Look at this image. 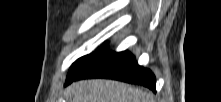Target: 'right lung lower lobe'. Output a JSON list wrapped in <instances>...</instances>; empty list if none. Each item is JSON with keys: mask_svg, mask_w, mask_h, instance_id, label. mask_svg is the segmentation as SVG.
Here are the masks:
<instances>
[{"mask_svg": "<svg viewBox=\"0 0 221 102\" xmlns=\"http://www.w3.org/2000/svg\"><path fill=\"white\" fill-rule=\"evenodd\" d=\"M110 78L128 83L139 84L155 91L156 80L153 73L137 64L129 52L104 51L85 67L67 77L66 85L84 78Z\"/></svg>", "mask_w": 221, "mask_h": 102, "instance_id": "right-lung-lower-lobe-1", "label": "right lung lower lobe"}]
</instances>
